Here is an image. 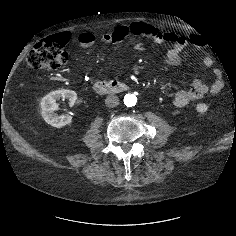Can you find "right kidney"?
Instances as JSON below:
<instances>
[{
	"mask_svg": "<svg viewBox=\"0 0 236 236\" xmlns=\"http://www.w3.org/2000/svg\"><path fill=\"white\" fill-rule=\"evenodd\" d=\"M60 98L68 99L70 106H73L77 99V94L75 91L67 89L56 90L44 96L40 103L42 117L45 122L57 128L70 124L72 121V117L70 115L65 114L59 116L57 113L54 112L58 109L56 101Z\"/></svg>",
	"mask_w": 236,
	"mask_h": 236,
	"instance_id": "ca27d5eb",
	"label": "right kidney"
}]
</instances>
